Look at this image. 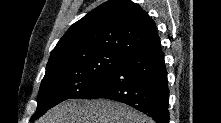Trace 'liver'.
Instances as JSON below:
<instances>
[{
  "mask_svg": "<svg viewBox=\"0 0 221 123\" xmlns=\"http://www.w3.org/2000/svg\"><path fill=\"white\" fill-rule=\"evenodd\" d=\"M38 123H153V120L118 102L72 99L52 108Z\"/></svg>",
  "mask_w": 221,
  "mask_h": 123,
  "instance_id": "liver-1",
  "label": "liver"
}]
</instances>
